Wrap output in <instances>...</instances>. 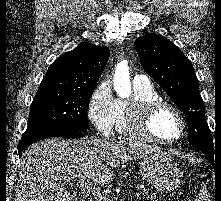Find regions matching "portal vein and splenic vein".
Instances as JSON below:
<instances>
[{
	"label": "portal vein and splenic vein",
	"instance_id": "18ae733b",
	"mask_svg": "<svg viewBox=\"0 0 221 201\" xmlns=\"http://www.w3.org/2000/svg\"><path fill=\"white\" fill-rule=\"evenodd\" d=\"M76 185L82 192L94 196L97 201H107L109 198L106 193L101 192L96 186H93L88 181L78 180ZM134 197L140 199V194L136 193Z\"/></svg>",
	"mask_w": 221,
	"mask_h": 201
}]
</instances>
